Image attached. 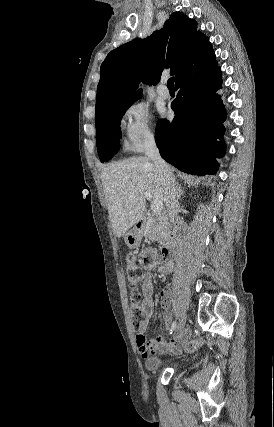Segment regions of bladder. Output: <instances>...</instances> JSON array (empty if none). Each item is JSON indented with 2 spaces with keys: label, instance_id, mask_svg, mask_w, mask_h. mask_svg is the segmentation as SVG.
Here are the masks:
<instances>
[{
  "label": "bladder",
  "instance_id": "obj_1",
  "mask_svg": "<svg viewBox=\"0 0 274 427\" xmlns=\"http://www.w3.org/2000/svg\"><path fill=\"white\" fill-rule=\"evenodd\" d=\"M165 363L166 361L161 357L157 355H151L146 359L145 368L149 373H156L159 370H165L168 368Z\"/></svg>",
  "mask_w": 274,
  "mask_h": 427
}]
</instances>
